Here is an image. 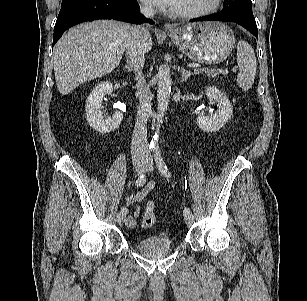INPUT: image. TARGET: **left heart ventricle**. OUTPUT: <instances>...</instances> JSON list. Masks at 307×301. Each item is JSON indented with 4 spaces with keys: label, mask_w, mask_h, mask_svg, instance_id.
Wrapping results in <instances>:
<instances>
[{
    "label": "left heart ventricle",
    "mask_w": 307,
    "mask_h": 301,
    "mask_svg": "<svg viewBox=\"0 0 307 301\" xmlns=\"http://www.w3.org/2000/svg\"><path fill=\"white\" fill-rule=\"evenodd\" d=\"M211 0H178L174 11H190L204 8L209 5Z\"/></svg>",
    "instance_id": "obj_1"
}]
</instances>
